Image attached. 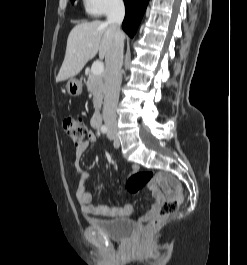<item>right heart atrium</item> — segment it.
<instances>
[{"mask_svg":"<svg viewBox=\"0 0 247 265\" xmlns=\"http://www.w3.org/2000/svg\"><path fill=\"white\" fill-rule=\"evenodd\" d=\"M85 10L93 16H102L119 10L123 0H83Z\"/></svg>","mask_w":247,"mask_h":265,"instance_id":"obj_1","label":"right heart atrium"}]
</instances>
